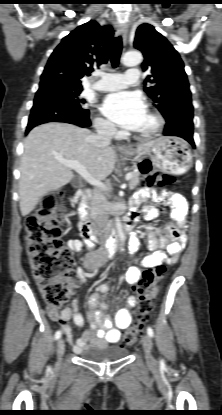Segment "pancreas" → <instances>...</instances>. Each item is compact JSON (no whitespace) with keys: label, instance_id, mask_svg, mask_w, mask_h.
<instances>
[{"label":"pancreas","instance_id":"1","mask_svg":"<svg viewBox=\"0 0 222 415\" xmlns=\"http://www.w3.org/2000/svg\"><path fill=\"white\" fill-rule=\"evenodd\" d=\"M139 181H140V172L139 171H133L132 172V177H131L130 182H129V188L131 190H133L139 184Z\"/></svg>","mask_w":222,"mask_h":415}]
</instances>
